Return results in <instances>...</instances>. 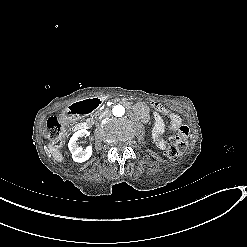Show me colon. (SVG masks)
I'll list each match as a JSON object with an SVG mask.
<instances>
[{
    "label": "colon",
    "mask_w": 247,
    "mask_h": 247,
    "mask_svg": "<svg viewBox=\"0 0 247 247\" xmlns=\"http://www.w3.org/2000/svg\"><path fill=\"white\" fill-rule=\"evenodd\" d=\"M145 107L147 109H154L161 116H165L168 113L167 108L159 101L147 100L145 102ZM46 129L49 133L50 140L55 148H62V136L66 131V126L59 121L57 117H51L46 125ZM189 140V129L186 126L179 128L178 133L173 139L170 140L166 148V156L170 160H175L182 149L186 147Z\"/></svg>",
    "instance_id": "5ec220e1"
}]
</instances>
